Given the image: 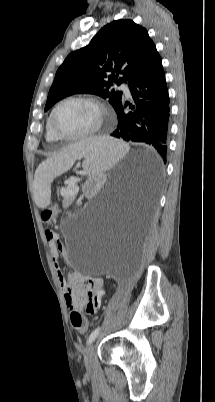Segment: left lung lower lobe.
<instances>
[{
	"instance_id": "1",
	"label": "left lung lower lobe",
	"mask_w": 215,
	"mask_h": 402,
	"mask_svg": "<svg viewBox=\"0 0 215 402\" xmlns=\"http://www.w3.org/2000/svg\"><path fill=\"white\" fill-rule=\"evenodd\" d=\"M129 89L134 105L123 99L116 107L118 125L111 136L131 142H142L155 148L166 163L168 131H169V95L161 57L155 59L144 71L132 77ZM162 166L157 161L156 169L146 172L151 186H155Z\"/></svg>"
}]
</instances>
